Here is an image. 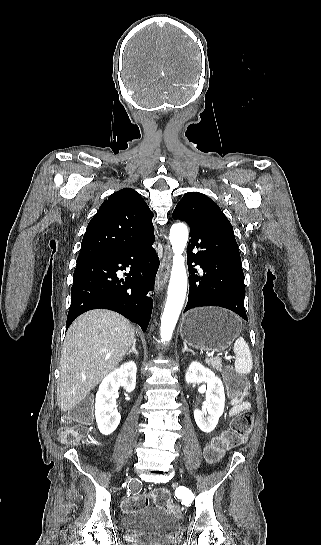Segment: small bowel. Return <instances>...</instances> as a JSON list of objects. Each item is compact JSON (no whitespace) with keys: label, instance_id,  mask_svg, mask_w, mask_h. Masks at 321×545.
<instances>
[{"label":"small bowel","instance_id":"c3829d8e","mask_svg":"<svg viewBox=\"0 0 321 545\" xmlns=\"http://www.w3.org/2000/svg\"><path fill=\"white\" fill-rule=\"evenodd\" d=\"M231 404L232 408L230 410V415H234L241 411L248 410L250 407L249 403L242 401L241 398H233Z\"/></svg>","mask_w":321,"mask_h":545}]
</instances>
